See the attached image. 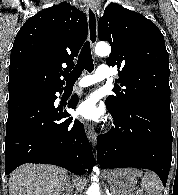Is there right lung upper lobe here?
Here are the masks:
<instances>
[{"instance_id": "right-lung-upper-lobe-1", "label": "right lung upper lobe", "mask_w": 178, "mask_h": 195, "mask_svg": "<svg viewBox=\"0 0 178 195\" xmlns=\"http://www.w3.org/2000/svg\"><path fill=\"white\" fill-rule=\"evenodd\" d=\"M87 34L85 14L67 2L29 18L11 50L9 97L61 88V76L74 67L73 59Z\"/></svg>"}]
</instances>
